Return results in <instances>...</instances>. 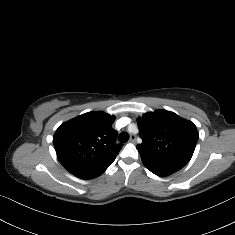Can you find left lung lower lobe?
Returning a JSON list of instances; mask_svg holds the SVG:
<instances>
[{"mask_svg": "<svg viewBox=\"0 0 235 235\" xmlns=\"http://www.w3.org/2000/svg\"><path fill=\"white\" fill-rule=\"evenodd\" d=\"M143 164L154 174L160 177H166L169 176L184 166L173 163V162H168V161H163L160 159L152 158V157H147V156H141Z\"/></svg>", "mask_w": 235, "mask_h": 235, "instance_id": "1", "label": "left lung lower lobe"}]
</instances>
